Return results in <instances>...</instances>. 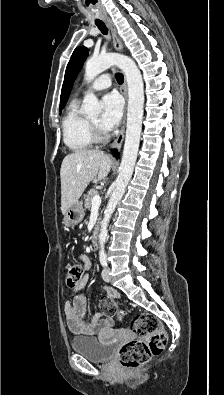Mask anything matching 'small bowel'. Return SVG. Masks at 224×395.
<instances>
[{
  "instance_id": "obj_1",
  "label": "small bowel",
  "mask_w": 224,
  "mask_h": 395,
  "mask_svg": "<svg viewBox=\"0 0 224 395\" xmlns=\"http://www.w3.org/2000/svg\"><path fill=\"white\" fill-rule=\"evenodd\" d=\"M84 266H89V259L86 256L81 257ZM89 278L85 274L76 283L77 289L82 290L88 284ZM106 292L112 297H119L118 292L106 287ZM64 315L69 330L76 335H97L104 331L110 330L113 325L112 319L104 317L100 313L89 316L86 306V299L83 294L77 295L72 301L64 305Z\"/></svg>"
}]
</instances>
